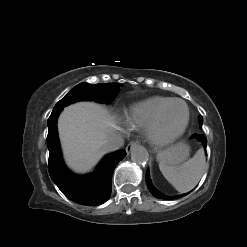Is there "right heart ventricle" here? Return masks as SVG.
Listing matches in <instances>:
<instances>
[{"label":"right heart ventricle","mask_w":247,"mask_h":247,"mask_svg":"<svg viewBox=\"0 0 247 247\" xmlns=\"http://www.w3.org/2000/svg\"><path fill=\"white\" fill-rule=\"evenodd\" d=\"M171 99L173 98L153 96L134 104L127 114L128 123L137 128L147 129L159 109Z\"/></svg>","instance_id":"e07e8e85"}]
</instances>
